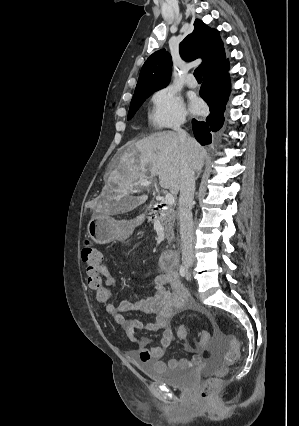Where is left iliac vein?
Segmentation results:
<instances>
[{
	"label": "left iliac vein",
	"instance_id": "1",
	"mask_svg": "<svg viewBox=\"0 0 299 426\" xmlns=\"http://www.w3.org/2000/svg\"><path fill=\"white\" fill-rule=\"evenodd\" d=\"M189 279H190V275L188 274V275H187V280H189Z\"/></svg>",
	"mask_w": 299,
	"mask_h": 426
}]
</instances>
